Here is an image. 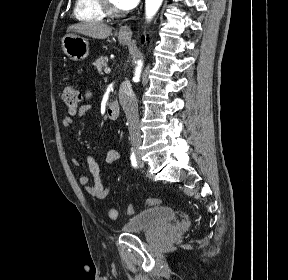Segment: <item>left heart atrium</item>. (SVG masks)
Listing matches in <instances>:
<instances>
[{
  "mask_svg": "<svg viewBox=\"0 0 288 280\" xmlns=\"http://www.w3.org/2000/svg\"><path fill=\"white\" fill-rule=\"evenodd\" d=\"M115 5L122 10H128L136 5L138 0H114Z\"/></svg>",
  "mask_w": 288,
  "mask_h": 280,
  "instance_id": "left-heart-atrium-1",
  "label": "left heart atrium"
}]
</instances>
